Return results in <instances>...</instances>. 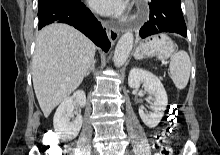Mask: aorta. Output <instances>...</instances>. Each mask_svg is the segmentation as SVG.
<instances>
[{"label": "aorta", "instance_id": "762f6f07", "mask_svg": "<svg viewBox=\"0 0 220 155\" xmlns=\"http://www.w3.org/2000/svg\"><path fill=\"white\" fill-rule=\"evenodd\" d=\"M134 36L128 31L119 39L114 51V64L116 67L122 66L128 59L133 47Z\"/></svg>", "mask_w": 220, "mask_h": 155}]
</instances>
